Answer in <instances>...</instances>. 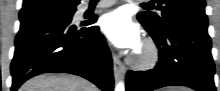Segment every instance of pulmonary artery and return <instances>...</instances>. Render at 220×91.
Here are the masks:
<instances>
[{"mask_svg": "<svg viewBox=\"0 0 220 91\" xmlns=\"http://www.w3.org/2000/svg\"><path fill=\"white\" fill-rule=\"evenodd\" d=\"M117 1L114 0H106V1H101L98 5H97V9H102V8H107L112 6L113 4H115Z\"/></svg>", "mask_w": 220, "mask_h": 91, "instance_id": "obj_1", "label": "pulmonary artery"}]
</instances>
